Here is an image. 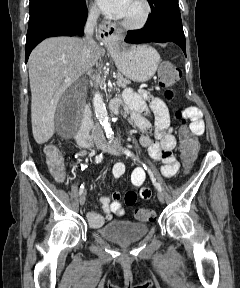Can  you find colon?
<instances>
[{"label": "colon", "instance_id": "colon-1", "mask_svg": "<svg viewBox=\"0 0 240 288\" xmlns=\"http://www.w3.org/2000/svg\"><path fill=\"white\" fill-rule=\"evenodd\" d=\"M179 70L170 63H162L159 68V82L166 89L165 97L171 99L173 91L171 88L179 80ZM177 117L184 122L181 112H177ZM180 154L186 168H189L196 159L198 144L194 134L186 127L182 126L179 131ZM47 167L52 176L58 182H63L66 178V172L63 157L59 149L53 144H47L44 148ZM137 195L134 191H127L124 195V202L127 206H133L136 203ZM137 219L145 222L154 221L156 213L150 209L137 208L135 210Z\"/></svg>", "mask_w": 240, "mask_h": 288}]
</instances>
